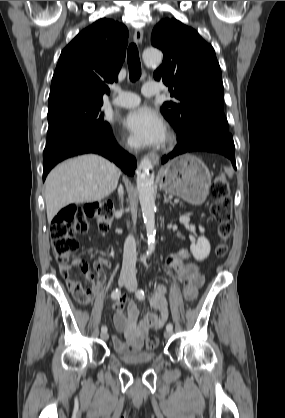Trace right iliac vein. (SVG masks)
Here are the masks:
<instances>
[{
	"label": "right iliac vein",
	"instance_id": "63e3f726",
	"mask_svg": "<svg viewBox=\"0 0 285 418\" xmlns=\"http://www.w3.org/2000/svg\"><path fill=\"white\" fill-rule=\"evenodd\" d=\"M129 280H130V276H128V275H121L119 277L118 283H119L120 286H122V285L126 284ZM100 336H101V338L103 340H107L109 338L108 332H101V335Z\"/></svg>",
	"mask_w": 285,
	"mask_h": 418
}]
</instances>
